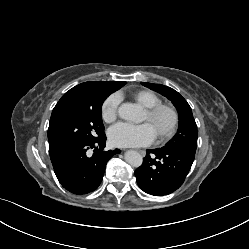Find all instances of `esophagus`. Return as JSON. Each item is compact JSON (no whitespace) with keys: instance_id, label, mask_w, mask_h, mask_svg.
I'll list each match as a JSON object with an SVG mask.
<instances>
[{"instance_id":"1","label":"esophagus","mask_w":249,"mask_h":249,"mask_svg":"<svg viewBox=\"0 0 249 249\" xmlns=\"http://www.w3.org/2000/svg\"><path fill=\"white\" fill-rule=\"evenodd\" d=\"M138 152H139L140 154H142V155L145 154V151H143V150H138Z\"/></svg>"}]
</instances>
